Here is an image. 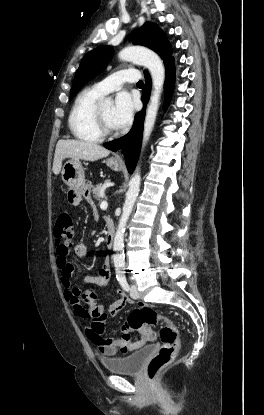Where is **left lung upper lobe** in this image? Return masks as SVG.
Instances as JSON below:
<instances>
[{
	"label": "left lung upper lobe",
	"instance_id": "left-lung-upper-lobe-1",
	"mask_svg": "<svg viewBox=\"0 0 264 415\" xmlns=\"http://www.w3.org/2000/svg\"><path fill=\"white\" fill-rule=\"evenodd\" d=\"M132 42L135 45L146 46L154 50L163 59L164 64L173 59L171 45L165 33L155 23L147 22L140 29L134 31ZM112 54V47L101 46L84 56L76 71L69 100L73 99L82 86L104 70Z\"/></svg>",
	"mask_w": 264,
	"mask_h": 415
}]
</instances>
